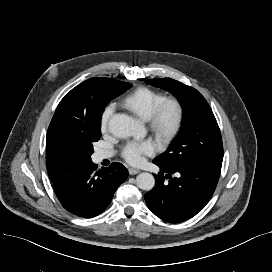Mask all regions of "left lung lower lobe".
<instances>
[{"mask_svg":"<svg viewBox=\"0 0 272 272\" xmlns=\"http://www.w3.org/2000/svg\"><path fill=\"white\" fill-rule=\"evenodd\" d=\"M153 162L161 172L155 177V187L145 194L146 204L157 217L172 223L188 220L205 207L215 191L222 166L204 162L165 166Z\"/></svg>","mask_w":272,"mask_h":272,"instance_id":"obj_1","label":"left lung lower lobe"}]
</instances>
